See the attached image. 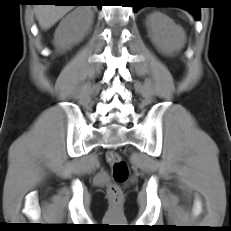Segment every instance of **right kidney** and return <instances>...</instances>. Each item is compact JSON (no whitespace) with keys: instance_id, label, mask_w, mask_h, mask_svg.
<instances>
[{"instance_id":"ca27d5eb","label":"right kidney","mask_w":231,"mask_h":231,"mask_svg":"<svg viewBox=\"0 0 231 231\" xmlns=\"http://www.w3.org/2000/svg\"><path fill=\"white\" fill-rule=\"evenodd\" d=\"M93 23V11L86 6L77 7L62 19L54 34V45L66 50L80 43Z\"/></svg>"}]
</instances>
